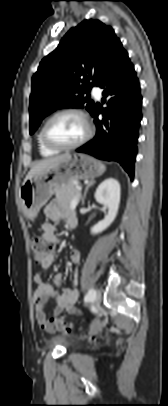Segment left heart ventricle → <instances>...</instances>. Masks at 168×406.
<instances>
[{"label": "left heart ventricle", "instance_id": "obj_1", "mask_svg": "<svg viewBox=\"0 0 168 406\" xmlns=\"http://www.w3.org/2000/svg\"><path fill=\"white\" fill-rule=\"evenodd\" d=\"M81 117L73 113L56 117L47 128L49 139L58 145H69L78 141L85 133Z\"/></svg>", "mask_w": 168, "mask_h": 406}]
</instances>
